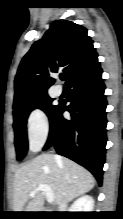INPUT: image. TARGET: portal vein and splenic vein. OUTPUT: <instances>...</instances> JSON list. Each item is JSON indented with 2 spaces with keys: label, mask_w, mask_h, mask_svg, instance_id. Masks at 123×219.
<instances>
[{
  "label": "portal vein and splenic vein",
  "mask_w": 123,
  "mask_h": 219,
  "mask_svg": "<svg viewBox=\"0 0 123 219\" xmlns=\"http://www.w3.org/2000/svg\"><path fill=\"white\" fill-rule=\"evenodd\" d=\"M42 191L46 199L49 203H52L54 201V194L50 186L46 184H40L34 191L30 192L31 196H34L37 192Z\"/></svg>",
  "instance_id": "portal-vein-and-splenic-vein-1"
}]
</instances>
